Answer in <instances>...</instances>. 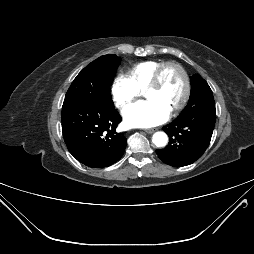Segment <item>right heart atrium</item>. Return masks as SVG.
Segmentation results:
<instances>
[{
    "label": "right heart atrium",
    "instance_id": "right-heart-atrium-1",
    "mask_svg": "<svg viewBox=\"0 0 254 254\" xmlns=\"http://www.w3.org/2000/svg\"><path fill=\"white\" fill-rule=\"evenodd\" d=\"M111 95L115 105L123 108L141 95V90L126 75L115 77L111 86Z\"/></svg>",
    "mask_w": 254,
    "mask_h": 254
}]
</instances>
